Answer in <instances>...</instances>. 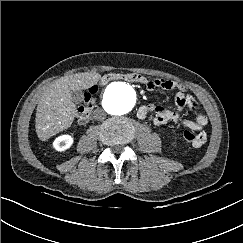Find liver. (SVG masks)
<instances>
[{"instance_id":"1","label":"liver","mask_w":243,"mask_h":243,"mask_svg":"<svg viewBox=\"0 0 243 243\" xmlns=\"http://www.w3.org/2000/svg\"><path fill=\"white\" fill-rule=\"evenodd\" d=\"M100 75L95 72L76 73L62 77L47 87L36 109L35 128L40 140L46 141L68 129L76 114L71 91H81L93 85Z\"/></svg>"}]
</instances>
